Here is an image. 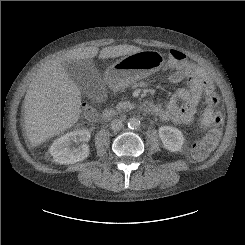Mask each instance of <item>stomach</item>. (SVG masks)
<instances>
[{
	"label": "stomach",
	"mask_w": 245,
	"mask_h": 245,
	"mask_svg": "<svg viewBox=\"0 0 245 245\" xmlns=\"http://www.w3.org/2000/svg\"><path fill=\"white\" fill-rule=\"evenodd\" d=\"M165 62L163 55L155 50H142L129 54L106 70L105 81L113 89H124L158 72Z\"/></svg>",
	"instance_id": "0dacf381"
}]
</instances>
